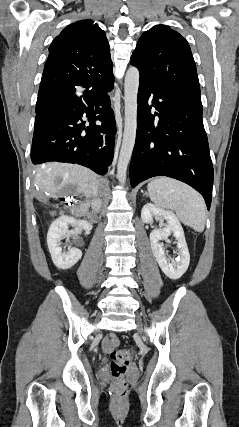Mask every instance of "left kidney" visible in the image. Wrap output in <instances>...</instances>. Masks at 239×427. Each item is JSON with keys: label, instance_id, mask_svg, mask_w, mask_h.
I'll return each instance as SVG.
<instances>
[{"label": "left kidney", "instance_id": "1", "mask_svg": "<svg viewBox=\"0 0 239 427\" xmlns=\"http://www.w3.org/2000/svg\"><path fill=\"white\" fill-rule=\"evenodd\" d=\"M154 217L165 219L167 224L164 228L154 229L150 233L152 252L164 274L170 279H179L186 272L190 263V254L183 228L173 212L159 208L151 203L144 205L141 210L142 221L150 223ZM171 234L177 239V247L180 252V256L172 262L166 258L165 250L160 242L168 239Z\"/></svg>", "mask_w": 239, "mask_h": 427}]
</instances>
